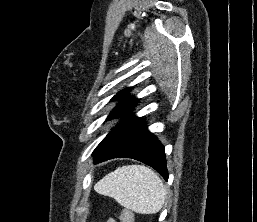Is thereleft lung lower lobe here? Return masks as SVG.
Returning a JSON list of instances; mask_svg holds the SVG:
<instances>
[{
	"mask_svg": "<svg viewBox=\"0 0 257 222\" xmlns=\"http://www.w3.org/2000/svg\"><path fill=\"white\" fill-rule=\"evenodd\" d=\"M121 157L141 161L154 168L166 181L168 180L164 146L147 130L141 118L130 121L95 153L94 163Z\"/></svg>",
	"mask_w": 257,
	"mask_h": 222,
	"instance_id": "0a47b994",
	"label": "left lung lower lobe"
}]
</instances>
